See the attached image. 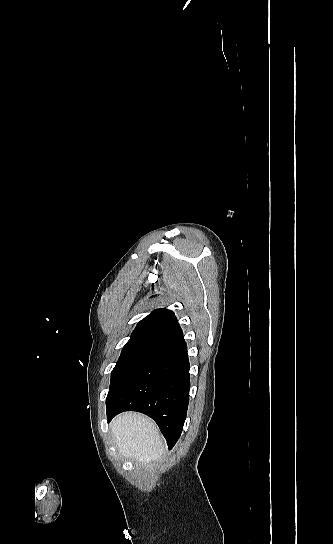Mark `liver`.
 <instances>
[{"label": "liver", "mask_w": 333, "mask_h": 544, "mask_svg": "<svg viewBox=\"0 0 333 544\" xmlns=\"http://www.w3.org/2000/svg\"><path fill=\"white\" fill-rule=\"evenodd\" d=\"M119 453L142 464L159 459L165 450L156 424L137 412L118 415L111 424Z\"/></svg>", "instance_id": "6515ba94"}]
</instances>
